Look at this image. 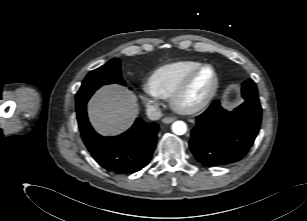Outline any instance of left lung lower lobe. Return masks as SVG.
Wrapping results in <instances>:
<instances>
[{
    "label": "left lung lower lobe",
    "instance_id": "obj_1",
    "mask_svg": "<svg viewBox=\"0 0 307 221\" xmlns=\"http://www.w3.org/2000/svg\"><path fill=\"white\" fill-rule=\"evenodd\" d=\"M245 102L232 112L215 101L196 117L190 149L206 167L225 165L241 160L252 146L261 123L258 93L242 91Z\"/></svg>",
    "mask_w": 307,
    "mask_h": 221
}]
</instances>
